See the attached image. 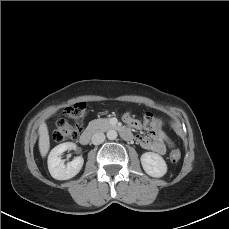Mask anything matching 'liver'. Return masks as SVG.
I'll return each mask as SVG.
<instances>
[{
	"instance_id": "liver-1",
	"label": "liver",
	"mask_w": 229,
	"mask_h": 229,
	"mask_svg": "<svg viewBox=\"0 0 229 229\" xmlns=\"http://www.w3.org/2000/svg\"><path fill=\"white\" fill-rule=\"evenodd\" d=\"M39 151L42 157H45L50 148V137L48 128L45 122L39 126Z\"/></svg>"
}]
</instances>
